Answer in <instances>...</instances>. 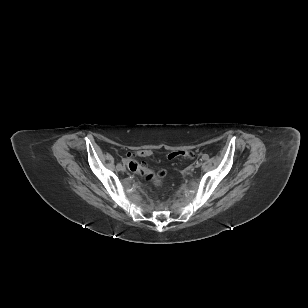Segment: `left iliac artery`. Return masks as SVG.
Masks as SVG:
<instances>
[{
    "label": "left iliac artery",
    "mask_w": 308,
    "mask_h": 308,
    "mask_svg": "<svg viewBox=\"0 0 308 308\" xmlns=\"http://www.w3.org/2000/svg\"><path fill=\"white\" fill-rule=\"evenodd\" d=\"M202 158H203L204 160H209V155H204Z\"/></svg>",
    "instance_id": "left-iliac-artery-1"
}]
</instances>
